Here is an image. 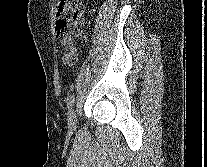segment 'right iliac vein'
<instances>
[{"mask_svg":"<svg viewBox=\"0 0 207 167\" xmlns=\"http://www.w3.org/2000/svg\"><path fill=\"white\" fill-rule=\"evenodd\" d=\"M76 121H77L76 112L73 109H71L69 111V114H68V124H69V129L71 131L75 130V128H76Z\"/></svg>","mask_w":207,"mask_h":167,"instance_id":"63e3f726","label":"right iliac vein"}]
</instances>
